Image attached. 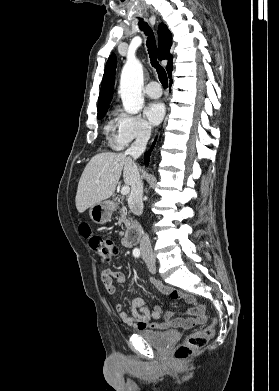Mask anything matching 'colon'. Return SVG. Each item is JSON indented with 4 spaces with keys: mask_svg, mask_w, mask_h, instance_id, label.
<instances>
[{
    "mask_svg": "<svg viewBox=\"0 0 279 391\" xmlns=\"http://www.w3.org/2000/svg\"><path fill=\"white\" fill-rule=\"evenodd\" d=\"M81 234L87 238L92 251L102 262H109L117 254V244L109 238L94 234L87 224L80 227ZM214 332V324L206 326L189 335L175 350V359L179 362L188 360L198 350L204 347Z\"/></svg>",
    "mask_w": 279,
    "mask_h": 391,
    "instance_id": "1",
    "label": "colon"
}]
</instances>
